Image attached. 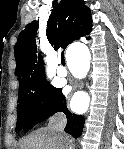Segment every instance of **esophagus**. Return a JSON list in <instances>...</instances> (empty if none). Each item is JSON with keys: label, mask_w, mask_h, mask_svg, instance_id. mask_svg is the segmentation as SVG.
I'll return each mask as SVG.
<instances>
[{"label": "esophagus", "mask_w": 124, "mask_h": 149, "mask_svg": "<svg viewBox=\"0 0 124 149\" xmlns=\"http://www.w3.org/2000/svg\"><path fill=\"white\" fill-rule=\"evenodd\" d=\"M78 87H81V85H80V84H78Z\"/></svg>", "instance_id": "obj_1"}]
</instances>
